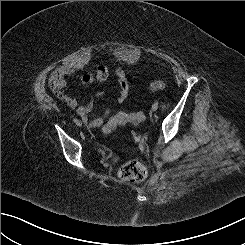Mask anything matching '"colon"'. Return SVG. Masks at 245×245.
<instances>
[{"instance_id":"colon-1","label":"colon","mask_w":245,"mask_h":245,"mask_svg":"<svg viewBox=\"0 0 245 245\" xmlns=\"http://www.w3.org/2000/svg\"><path fill=\"white\" fill-rule=\"evenodd\" d=\"M166 87V83L163 80L153 79L149 83V88L152 91H159ZM145 115L143 113H119L112 117L104 127L105 132H111L121 123H133L138 124L144 121ZM118 176L121 180L138 183L143 181L147 176V170L139 157L127 161L119 170Z\"/></svg>"}]
</instances>
